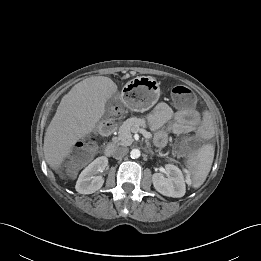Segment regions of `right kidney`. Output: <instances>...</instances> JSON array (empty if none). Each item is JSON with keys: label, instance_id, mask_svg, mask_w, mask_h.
<instances>
[{"label": "right kidney", "instance_id": "obj_1", "mask_svg": "<svg viewBox=\"0 0 261 261\" xmlns=\"http://www.w3.org/2000/svg\"><path fill=\"white\" fill-rule=\"evenodd\" d=\"M107 165L108 159L105 156L98 157L90 163L79 175L76 191L80 194H92L99 190L104 183V178L97 174L103 172Z\"/></svg>", "mask_w": 261, "mask_h": 261}]
</instances>
